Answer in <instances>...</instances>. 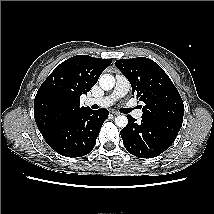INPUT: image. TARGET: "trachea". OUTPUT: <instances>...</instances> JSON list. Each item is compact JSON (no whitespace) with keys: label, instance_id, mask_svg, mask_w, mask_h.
Listing matches in <instances>:
<instances>
[{"label":"trachea","instance_id":"1","mask_svg":"<svg viewBox=\"0 0 214 214\" xmlns=\"http://www.w3.org/2000/svg\"><path fill=\"white\" fill-rule=\"evenodd\" d=\"M130 112V109H127V108H124L123 110H122V113H129Z\"/></svg>","mask_w":214,"mask_h":214}]
</instances>
